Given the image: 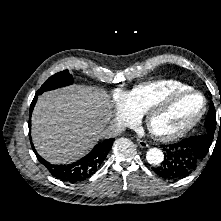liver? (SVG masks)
Masks as SVG:
<instances>
[{"label": "liver", "mask_w": 221, "mask_h": 221, "mask_svg": "<svg viewBox=\"0 0 221 221\" xmlns=\"http://www.w3.org/2000/svg\"><path fill=\"white\" fill-rule=\"evenodd\" d=\"M111 117L104 90L73 85L42 94L32 114V139L52 164H68L87 154Z\"/></svg>", "instance_id": "1"}]
</instances>
